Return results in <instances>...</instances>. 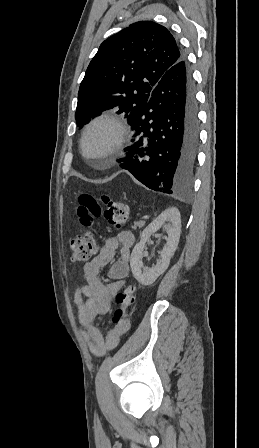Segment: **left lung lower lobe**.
Segmentation results:
<instances>
[{
    "mask_svg": "<svg viewBox=\"0 0 259 448\" xmlns=\"http://www.w3.org/2000/svg\"><path fill=\"white\" fill-rule=\"evenodd\" d=\"M133 145L118 160L148 188L173 194L191 185L199 140L191 69L183 55L160 78L147 104L132 110Z\"/></svg>",
    "mask_w": 259,
    "mask_h": 448,
    "instance_id": "left-lung-lower-lobe-1",
    "label": "left lung lower lobe"
}]
</instances>
